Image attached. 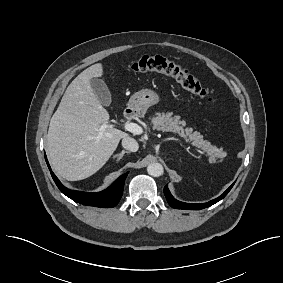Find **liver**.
I'll use <instances>...</instances> for the list:
<instances>
[{
    "instance_id": "6515ba94",
    "label": "liver",
    "mask_w": 283,
    "mask_h": 283,
    "mask_svg": "<svg viewBox=\"0 0 283 283\" xmlns=\"http://www.w3.org/2000/svg\"><path fill=\"white\" fill-rule=\"evenodd\" d=\"M103 75V65L94 64L67 87L53 114L47 134V154L53 170L69 181L95 174L109 160L120 140L129 135L109 125L91 86Z\"/></svg>"
}]
</instances>
